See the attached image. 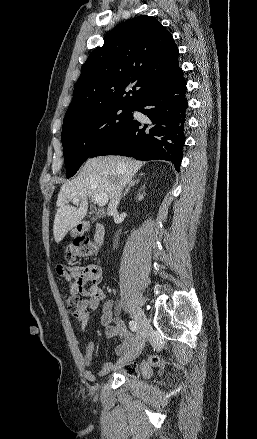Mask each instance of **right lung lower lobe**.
I'll use <instances>...</instances> for the list:
<instances>
[{
	"label": "right lung lower lobe",
	"instance_id": "obj_1",
	"mask_svg": "<svg viewBox=\"0 0 257 439\" xmlns=\"http://www.w3.org/2000/svg\"><path fill=\"white\" fill-rule=\"evenodd\" d=\"M182 69L157 84L135 107L148 117L146 123L134 118L121 130L98 145L89 157L121 155L147 161H171L179 170L185 142L184 123L188 107Z\"/></svg>",
	"mask_w": 257,
	"mask_h": 439
}]
</instances>
